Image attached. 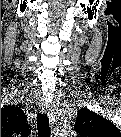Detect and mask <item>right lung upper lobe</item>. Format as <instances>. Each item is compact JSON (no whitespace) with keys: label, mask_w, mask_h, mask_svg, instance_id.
Wrapping results in <instances>:
<instances>
[{"label":"right lung upper lobe","mask_w":121,"mask_h":137,"mask_svg":"<svg viewBox=\"0 0 121 137\" xmlns=\"http://www.w3.org/2000/svg\"><path fill=\"white\" fill-rule=\"evenodd\" d=\"M29 128L22 109L17 106L1 108V135H26L29 132Z\"/></svg>","instance_id":"right-lung-upper-lobe-1"}]
</instances>
